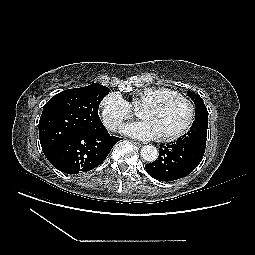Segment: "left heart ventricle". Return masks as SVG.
Listing matches in <instances>:
<instances>
[{"label":"left heart ventricle","instance_id":"obj_1","mask_svg":"<svg viewBox=\"0 0 255 255\" xmlns=\"http://www.w3.org/2000/svg\"><path fill=\"white\" fill-rule=\"evenodd\" d=\"M188 115L187 106L178 100L169 101L159 107L144 106L139 112L140 118L155 123L159 136L173 133L182 128Z\"/></svg>","mask_w":255,"mask_h":255}]
</instances>
